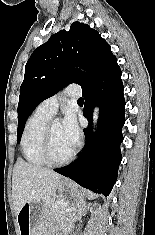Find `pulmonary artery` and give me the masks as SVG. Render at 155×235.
I'll use <instances>...</instances> for the list:
<instances>
[{
	"label": "pulmonary artery",
	"instance_id": "1",
	"mask_svg": "<svg viewBox=\"0 0 155 235\" xmlns=\"http://www.w3.org/2000/svg\"><path fill=\"white\" fill-rule=\"evenodd\" d=\"M65 94L70 97H79L81 95V89L79 86L70 85L65 89ZM59 105V95L51 96L44 101H42L38 109L42 112L53 115Z\"/></svg>",
	"mask_w": 155,
	"mask_h": 235
}]
</instances>
